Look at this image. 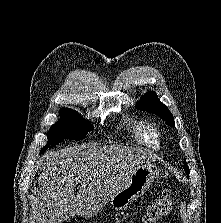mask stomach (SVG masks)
<instances>
[{
	"mask_svg": "<svg viewBox=\"0 0 221 223\" xmlns=\"http://www.w3.org/2000/svg\"><path fill=\"white\" fill-rule=\"evenodd\" d=\"M158 175V169L153 164H144L135 169L123 186L111 199L113 208H126L137 198L142 196L152 185Z\"/></svg>",
	"mask_w": 221,
	"mask_h": 223,
	"instance_id": "stomach-1",
	"label": "stomach"
}]
</instances>
